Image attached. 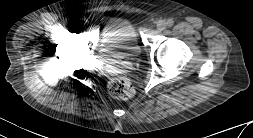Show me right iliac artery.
Returning a JSON list of instances; mask_svg holds the SVG:
<instances>
[{
	"label": "right iliac artery",
	"mask_w": 253,
	"mask_h": 138,
	"mask_svg": "<svg viewBox=\"0 0 253 138\" xmlns=\"http://www.w3.org/2000/svg\"><path fill=\"white\" fill-rule=\"evenodd\" d=\"M65 24H66L67 26H70V25L72 24V21H71L70 19H66V20H65Z\"/></svg>",
	"instance_id": "obj_1"
}]
</instances>
